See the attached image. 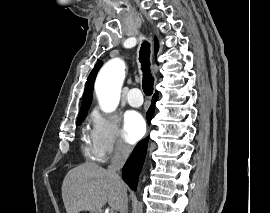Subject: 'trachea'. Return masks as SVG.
<instances>
[{"mask_svg":"<svg viewBox=\"0 0 270 213\" xmlns=\"http://www.w3.org/2000/svg\"><path fill=\"white\" fill-rule=\"evenodd\" d=\"M150 44L147 42L142 43L140 49L139 61L142 65L143 82L142 88L146 96H150L153 93L154 78L150 72Z\"/></svg>","mask_w":270,"mask_h":213,"instance_id":"trachea-1","label":"trachea"}]
</instances>
